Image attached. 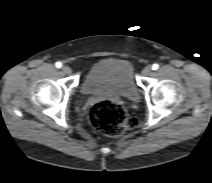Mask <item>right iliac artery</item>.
Wrapping results in <instances>:
<instances>
[{
  "instance_id": "right-iliac-artery-1",
  "label": "right iliac artery",
  "mask_w": 212,
  "mask_h": 183,
  "mask_svg": "<svg viewBox=\"0 0 212 183\" xmlns=\"http://www.w3.org/2000/svg\"><path fill=\"white\" fill-rule=\"evenodd\" d=\"M55 65H56L57 68H61L62 67V63L61 62H57Z\"/></svg>"
}]
</instances>
